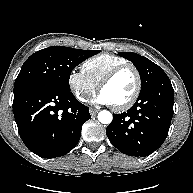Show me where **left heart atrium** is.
Instances as JSON below:
<instances>
[{"label":"left heart atrium","instance_id":"1","mask_svg":"<svg viewBox=\"0 0 193 193\" xmlns=\"http://www.w3.org/2000/svg\"><path fill=\"white\" fill-rule=\"evenodd\" d=\"M94 102L97 104H102V105H112L111 101L108 99V97L100 92L95 98Z\"/></svg>","mask_w":193,"mask_h":193}]
</instances>
